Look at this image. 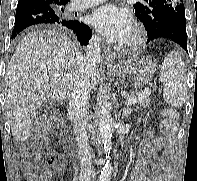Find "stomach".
I'll use <instances>...</instances> for the list:
<instances>
[{
    "label": "stomach",
    "instance_id": "stomach-1",
    "mask_svg": "<svg viewBox=\"0 0 197 181\" xmlns=\"http://www.w3.org/2000/svg\"><path fill=\"white\" fill-rule=\"evenodd\" d=\"M156 71V63L147 57L132 58L123 66L112 72L119 78L133 81L135 85H144L152 80Z\"/></svg>",
    "mask_w": 197,
    "mask_h": 181
}]
</instances>
